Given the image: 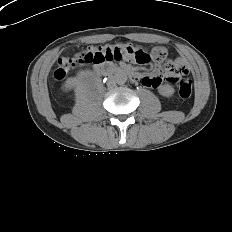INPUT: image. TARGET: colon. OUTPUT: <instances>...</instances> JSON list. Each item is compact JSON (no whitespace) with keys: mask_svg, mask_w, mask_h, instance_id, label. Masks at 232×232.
Wrapping results in <instances>:
<instances>
[{"mask_svg":"<svg viewBox=\"0 0 232 232\" xmlns=\"http://www.w3.org/2000/svg\"><path fill=\"white\" fill-rule=\"evenodd\" d=\"M152 58L157 61H164L166 51L158 47L152 53ZM128 60L137 64H147L150 61V55L142 49H135L132 46H108L103 48L88 49L78 53L74 58H61L55 69L53 76L57 80H62L76 66L87 64H100L105 61ZM166 72L167 80L177 85L178 93L181 98L187 99L192 92L191 81L187 77V70L177 68L174 64L167 62Z\"/></svg>","mask_w":232,"mask_h":232,"instance_id":"5ec220e1","label":"colon"}]
</instances>
